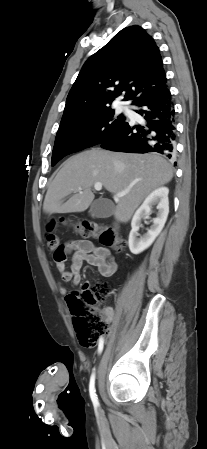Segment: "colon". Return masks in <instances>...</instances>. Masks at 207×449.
Instances as JSON below:
<instances>
[{"instance_id":"colon-1","label":"colon","mask_w":207,"mask_h":449,"mask_svg":"<svg viewBox=\"0 0 207 449\" xmlns=\"http://www.w3.org/2000/svg\"><path fill=\"white\" fill-rule=\"evenodd\" d=\"M62 224L84 238H97L101 243L114 246L118 250L125 246V241L116 237L109 228L100 227L95 223L62 222ZM55 227V223H50L46 226L45 240L48 249L54 253L55 261L63 263L66 260L67 253L55 234ZM106 297L107 287L105 284H100L96 288H90L85 284L81 290L66 297L73 318L74 329L82 346H95L99 339H103L109 333V324L102 317L99 308V304L104 302Z\"/></svg>"}]
</instances>
